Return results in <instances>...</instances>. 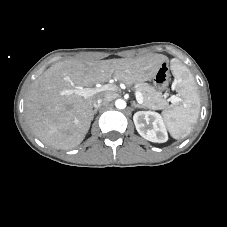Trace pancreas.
Returning a JSON list of instances; mask_svg holds the SVG:
<instances>
[{
	"label": "pancreas",
	"instance_id": "cf45deb5",
	"mask_svg": "<svg viewBox=\"0 0 227 227\" xmlns=\"http://www.w3.org/2000/svg\"><path fill=\"white\" fill-rule=\"evenodd\" d=\"M136 91L143 96V107L152 110H161L166 108L167 102L161 92L155 90L148 83L139 82L134 85Z\"/></svg>",
	"mask_w": 227,
	"mask_h": 227
}]
</instances>
